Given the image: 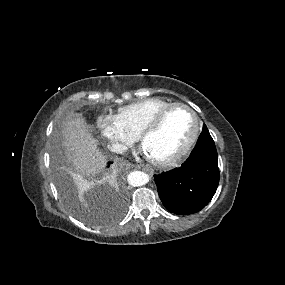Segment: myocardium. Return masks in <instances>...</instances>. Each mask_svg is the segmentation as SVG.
Masks as SVG:
<instances>
[{
    "label": "myocardium",
    "mask_w": 285,
    "mask_h": 285,
    "mask_svg": "<svg viewBox=\"0 0 285 285\" xmlns=\"http://www.w3.org/2000/svg\"><path fill=\"white\" fill-rule=\"evenodd\" d=\"M178 108L186 110L191 115V117H192V119L194 121V131H193V134H192L191 138L189 139V141L187 142V144L184 146V148L182 150H180L173 157H171L169 159H166V160L151 159L152 162L156 166H158V167L169 168V167L175 166L178 163H180L193 150V148L197 144V142L199 140V137L201 135L202 123H201V120H200L198 114L189 105L177 102V103H173V104L169 105L168 107H166L165 109H163L153 119H151L149 122H147L142 127V129L139 132V139H140V141L143 142L144 138L148 134H150L153 131H155L156 129H158L161 126V124L163 123V121L166 119V117L173 110L178 109Z\"/></svg>",
    "instance_id": "1"
}]
</instances>
